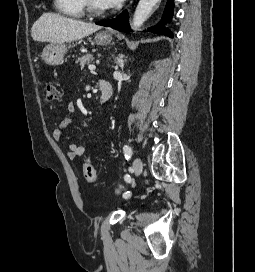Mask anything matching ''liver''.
<instances>
[{
    "label": "liver",
    "instance_id": "liver-1",
    "mask_svg": "<svg viewBox=\"0 0 255 272\" xmlns=\"http://www.w3.org/2000/svg\"><path fill=\"white\" fill-rule=\"evenodd\" d=\"M101 29L94 23L64 17L56 13H44L32 26L34 41L52 44L82 39Z\"/></svg>",
    "mask_w": 255,
    "mask_h": 272
}]
</instances>
